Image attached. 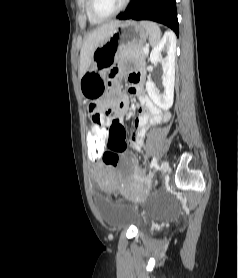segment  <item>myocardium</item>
Returning <instances> with one entry per match:
<instances>
[{
    "instance_id": "f54148a6",
    "label": "myocardium",
    "mask_w": 238,
    "mask_h": 278,
    "mask_svg": "<svg viewBox=\"0 0 238 278\" xmlns=\"http://www.w3.org/2000/svg\"><path fill=\"white\" fill-rule=\"evenodd\" d=\"M129 1L130 0H123L121 5L115 11H113L109 14H106V15H102V14H99L96 10V7H95L96 0H89V12L95 20L104 21V20L110 19V18L118 15L120 12H122L128 5Z\"/></svg>"
}]
</instances>
